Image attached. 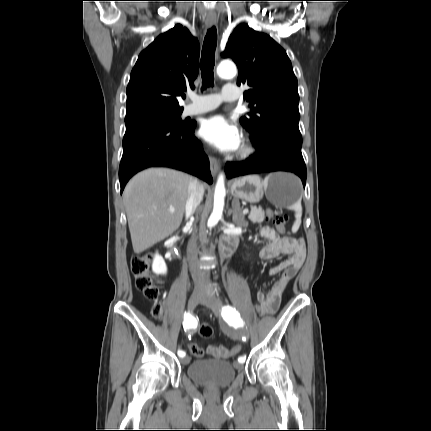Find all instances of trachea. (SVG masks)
Returning <instances> with one entry per match:
<instances>
[{
	"instance_id": "obj_1",
	"label": "trachea",
	"mask_w": 431,
	"mask_h": 431,
	"mask_svg": "<svg viewBox=\"0 0 431 431\" xmlns=\"http://www.w3.org/2000/svg\"><path fill=\"white\" fill-rule=\"evenodd\" d=\"M217 45V31L213 26L208 29L204 39L202 55H201V76L202 90L213 86L214 82V65H215V49Z\"/></svg>"
}]
</instances>
